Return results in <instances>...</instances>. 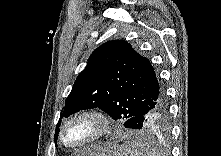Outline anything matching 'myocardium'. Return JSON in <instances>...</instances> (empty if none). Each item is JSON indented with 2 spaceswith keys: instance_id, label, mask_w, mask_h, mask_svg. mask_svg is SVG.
Wrapping results in <instances>:
<instances>
[{
  "instance_id": "obj_1",
  "label": "myocardium",
  "mask_w": 221,
  "mask_h": 156,
  "mask_svg": "<svg viewBox=\"0 0 221 156\" xmlns=\"http://www.w3.org/2000/svg\"><path fill=\"white\" fill-rule=\"evenodd\" d=\"M82 119H88L93 121V123L95 124L94 132L88 138L84 139L81 142L72 144L67 143L64 139V133L66 128L71 123ZM111 125V118L109 114L104 110L99 108H85L73 113L62 122L58 131V140L60 144L66 149H81L100 141L109 133Z\"/></svg>"
}]
</instances>
